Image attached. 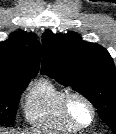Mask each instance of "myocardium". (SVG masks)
I'll return each mask as SVG.
<instances>
[{"label": "myocardium", "instance_id": "myocardium-1", "mask_svg": "<svg viewBox=\"0 0 116 134\" xmlns=\"http://www.w3.org/2000/svg\"><path fill=\"white\" fill-rule=\"evenodd\" d=\"M82 102L90 112V120L87 123L80 122L73 114L71 104L73 101ZM61 110L64 116L78 128H86L93 124L96 118V110L92 102L82 93L77 91H65L60 100Z\"/></svg>", "mask_w": 116, "mask_h": 134}]
</instances>
